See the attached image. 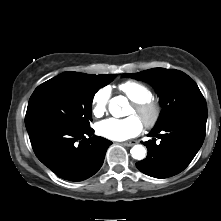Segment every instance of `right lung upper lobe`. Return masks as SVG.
<instances>
[{
    "label": "right lung upper lobe",
    "mask_w": 221,
    "mask_h": 221,
    "mask_svg": "<svg viewBox=\"0 0 221 221\" xmlns=\"http://www.w3.org/2000/svg\"><path fill=\"white\" fill-rule=\"evenodd\" d=\"M72 72V71H71ZM74 73H77V72H74ZM77 74H81V75H88V74H84V73H77ZM109 75V74H107ZM107 75H88V76H95V77H98V78H106Z\"/></svg>",
    "instance_id": "obj_1"
}]
</instances>
